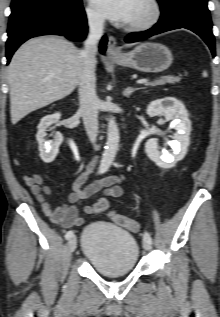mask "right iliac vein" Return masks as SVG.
Here are the masks:
<instances>
[{"instance_id":"1","label":"right iliac vein","mask_w":220,"mask_h":317,"mask_svg":"<svg viewBox=\"0 0 220 317\" xmlns=\"http://www.w3.org/2000/svg\"><path fill=\"white\" fill-rule=\"evenodd\" d=\"M77 247V238L73 236L68 241V250L70 253H73Z\"/></svg>"}]
</instances>
